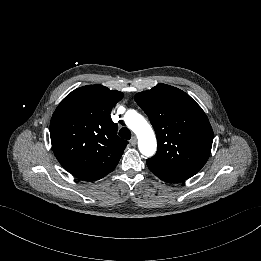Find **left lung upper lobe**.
Segmentation results:
<instances>
[{
	"mask_svg": "<svg viewBox=\"0 0 261 261\" xmlns=\"http://www.w3.org/2000/svg\"><path fill=\"white\" fill-rule=\"evenodd\" d=\"M135 101L156 132L158 149L151 159L198 172L213 143V130L202 108L184 91L162 83L137 93Z\"/></svg>",
	"mask_w": 261,
	"mask_h": 261,
	"instance_id": "obj_1",
	"label": "left lung upper lobe"
}]
</instances>
